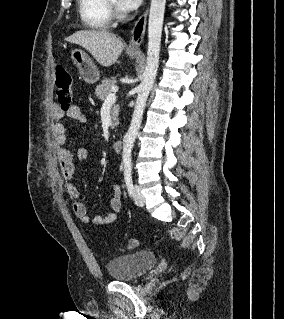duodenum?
Instances as JSON below:
<instances>
[{"label":"duodenum","instance_id":"1","mask_svg":"<svg viewBox=\"0 0 284 319\" xmlns=\"http://www.w3.org/2000/svg\"><path fill=\"white\" fill-rule=\"evenodd\" d=\"M123 148V141L118 139V140H115L113 142V149L116 151V152H120Z\"/></svg>","mask_w":284,"mask_h":319}]
</instances>
